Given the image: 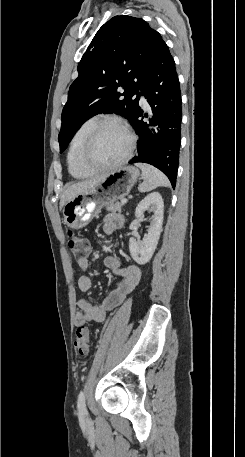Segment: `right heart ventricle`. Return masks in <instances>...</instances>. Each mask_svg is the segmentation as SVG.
Here are the masks:
<instances>
[{
  "label": "right heart ventricle",
  "instance_id": "1",
  "mask_svg": "<svg viewBox=\"0 0 245 457\" xmlns=\"http://www.w3.org/2000/svg\"><path fill=\"white\" fill-rule=\"evenodd\" d=\"M96 122L97 121L94 118L88 119L85 122H83L73 135L72 140L70 142V147L67 156L68 168L71 175L76 179H85L88 178L90 175L85 170H83L79 165L78 153L85 141L88 132Z\"/></svg>",
  "mask_w": 245,
  "mask_h": 457
}]
</instances>
